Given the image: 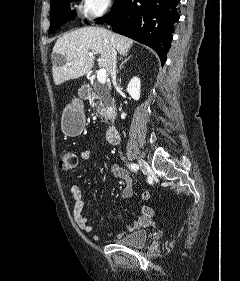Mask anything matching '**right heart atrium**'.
Segmentation results:
<instances>
[{
    "label": "right heart atrium",
    "instance_id": "1",
    "mask_svg": "<svg viewBox=\"0 0 240 281\" xmlns=\"http://www.w3.org/2000/svg\"><path fill=\"white\" fill-rule=\"evenodd\" d=\"M112 5V0H81L80 13L87 19L94 20L106 14Z\"/></svg>",
    "mask_w": 240,
    "mask_h": 281
}]
</instances>
